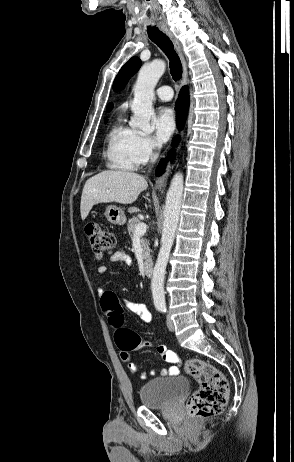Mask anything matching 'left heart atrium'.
<instances>
[{
	"label": "left heart atrium",
	"mask_w": 294,
	"mask_h": 462,
	"mask_svg": "<svg viewBox=\"0 0 294 462\" xmlns=\"http://www.w3.org/2000/svg\"><path fill=\"white\" fill-rule=\"evenodd\" d=\"M154 128L159 142H166L175 129V116L170 108H161L154 118Z\"/></svg>",
	"instance_id": "39dd6f15"
}]
</instances>
